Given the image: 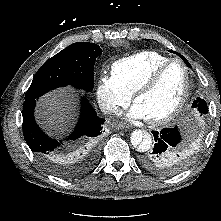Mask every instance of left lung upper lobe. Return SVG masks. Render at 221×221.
Instances as JSON below:
<instances>
[{
  "instance_id": "obj_1",
  "label": "left lung upper lobe",
  "mask_w": 221,
  "mask_h": 221,
  "mask_svg": "<svg viewBox=\"0 0 221 221\" xmlns=\"http://www.w3.org/2000/svg\"><path fill=\"white\" fill-rule=\"evenodd\" d=\"M192 108L197 109L201 115L208 113L207 104L200 97H198L196 100H194V102L192 103Z\"/></svg>"
}]
</instances>
